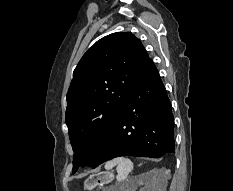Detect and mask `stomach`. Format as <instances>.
I'll return each instance as SVG.
<instances>
[{"mask_svg": "<svg viewBox=\"0 0 233 191\" xmlns=\"http://www.w3.org/2000/svg\"><path fill=\"white\" fill-rule=\"evenodd\" d=\"M114 175L110 171L100 172L89 176L84 182V188L88 191H92L96 186L103 185L111 182Z\"/></svg>", "mask_w": 233, "mask_h": 191, "instance_id": "obj_1", "label": "stomach"}]
</instances>
